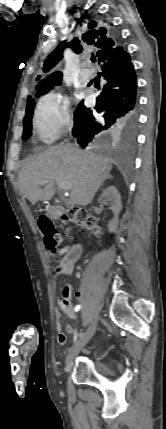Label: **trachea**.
<instances>
[{
    "label": "trachea",
    "instance_id": "trachea-1",
    "mask_svg": "<svg viewBox=\"0 0 166 429\" xmlns=\"http://www.w3.org/2000/svg\"><path fill=\"white\" fill-rule=\"evenodd\" d=\"M91 61L94 63L96 62V58L94 56H92Z\"/></svg>",
    "mask_w": 166,
    "mask_h": 429
}]
</instances>
